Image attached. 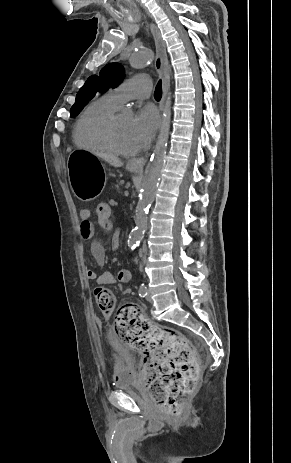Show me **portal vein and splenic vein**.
Here are the masks:
<instances>
[{
	"instance_id": "1",
	"label": "portal vein and splenic vein",
	"mask_w": 291,
	"mask_h": 463,
	"mask_svg": "<svg viewBox=\"0 0 291 463\" xmlns=\"http://www.w3.org/2000/svg\"><path fill=\"white\" fill-rule=\"evenodd\" d=\"M124 195H125V196H128V195H129V191H128V190H125V191H124Z\"/></svg>"
}]
</instances>
